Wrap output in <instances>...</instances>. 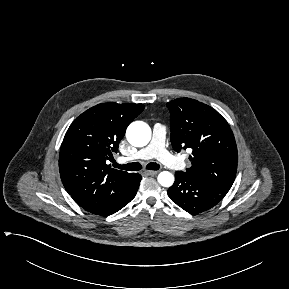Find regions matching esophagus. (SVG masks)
<instances>
[{"instance_id": "obj_1", "label": "esophagus", "mask_w": 289, "mask_h": 289, "mask_svg": "<svg viewBox=\"0 0 289 289\" xmlns=\"http://www.w3.org/2000/svg\"><path fill=\"white\" fill-rule=\"evenodd\" d=\"M144 174L147 176H155L158 174V171L145 170Z\"/></svg>"}]
</instances>
